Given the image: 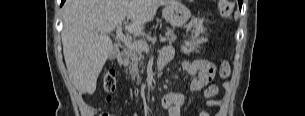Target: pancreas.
<instances>
[{"label":"pancreas","mask_w":305,"mask_h":116,"mask_svg":"<svg viewBox=\"0 0 305 116\" xmlns=\"http://www.w3.org/2000/svg\"><path fill=\"white\" fill-rule=\"evenodd\" d=\"M166 36L170 42H174L177 38L173 30L169 28H167ZM128 56L131 60L130 62L127 63V65L129 66L131 78L134 79L135 77H137V83L139 84L141 81L139 77V71H140L139 69L143 67V61H144L143 51L138 49H130L128 51Z\"/></svg>","instance_id":"pancreas-1"}]
</instances>
